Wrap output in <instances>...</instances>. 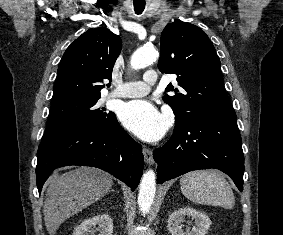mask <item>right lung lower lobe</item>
<instances>
[{
    "label": "right lung lower lobe",
    "mask_w": 283,
    "mask_h": 235,
    "mask_svg": "<svg viewBox=\"0 0 283 235\" xmlns=\"http://www.w3.org/2000/svg\"><path fill=\"white\" fill-rule=\"evenodd\" d=\"M142 147L118 124L115 114L92 129L75 131L41 143L38 148L37 188L57 167L80 165L100 168L134 191L143 172Z\"/></svg>",
    "instance_id": "1"
}]
</instances>
